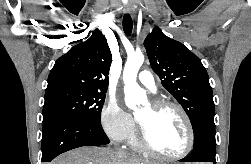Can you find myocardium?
Instances as JSON below:
<instances>
[{"instance_id": "1", "label": "myocardium", "mask_w": 251, "mask_h": 164, "mask_svg": "<svg viewBox=\"0 0 251 164\" xmlns=\"http://www.w3.org/2000/svg\"><path fill=\"white\" fill-rule=\"evenodd\" d=\"M151 106L156 110H161L165 108H171V109L176 110L180 114L181 118L183 119L185 123L187 134H188V141H187L186 148L181 153L177 155L164 154L160 152L159 150H157L150 143L145 128L138 121V142L141 148L152 156H155L157 158L164 159V160H169V161L180 160L186 157L193 150L194 144H195V132H194L191 119L189 115L187 114V112L184 110V108L180 104L176 102H172V101H167V100H155L151 103Z\"/></svg>"}]
</instances>
